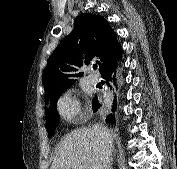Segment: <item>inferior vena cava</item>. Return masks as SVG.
I'll use <instances>...</instances> for the list:
<instances>
[{"instance_id":"obj_1","label":"inferior vena cava","mask_w":177,"mask_h":169,"mask_svg":"<svg viewBox=\"0 0 177 169\" xmlns=\"http://www.w3.org/2000/svg\"><path fill=\"white\" fill-rule=\"evenodd\" d=\"M93 131L95 132L99 144H100V154L102 160L101 169H111L112 162V149H113V138L109 131L101 126L94 125Z\"/></svg>"}]
</instances>
